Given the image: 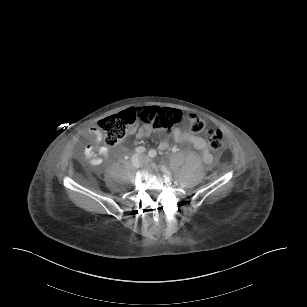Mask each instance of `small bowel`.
Segmentation results:
<instances>
[{
  "label": "small bowel",
  "mask_w": 307,
  "mask_h": 307,
  "mask_svg": "<svg viewBox=\"0 0 307 307\" xmlns=\"http://www.w3.org/2000/svg\"><path fill=\"white\" fill-rule=\"evenodd\" d=\"M150 132L151 129L149 127H142L138 130L137 137L138 138L146 137L149 135ZM89 133L94 136V141L85 147L84 157L88 163L92 165H98L101 164L104 161V159L107 158L109 153V148L99 144L102 137L99 129L91 128L89 130ZM172 136L174 140L179 143L192 144L197 150L201 152L204 162L207 164L211 163L212 155L210 153L206 141L202 137L180 128H175L172 131ZM168 146L169 145L166 141H162L159 144V149L165 150L168 148Z\"/></svg>",
  "instance_id": "obj_1"
}]
</instances>
